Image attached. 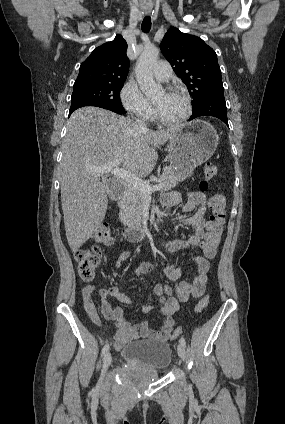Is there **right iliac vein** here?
Masks as SVG:
<instances>
[{"instance_id":"obj_1","label":"right iliac vein","mask_w":285,"mask_h":424,"mask_svg":"<svg viewBox=\"0 0 285 424\" xmlns=\"http://www.w3.org/2000/svg\"><path fill=\"white\" fill-rule=\"evenodd\" d=\"M112 362V355L110 352H107L103 358V366H102V371H101V379L104 378L110 364Z\"/></svg>"}]
</instances>
